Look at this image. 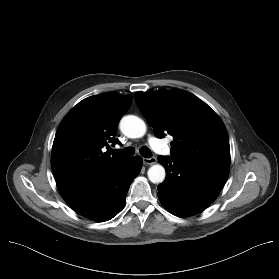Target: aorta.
Wrapping results in <instances>:
<instances>
[{
    "label": "aorta",
    "instance_id": "aorta-1",
    "mask_svg": "<svg viewBox=\"0 0 279 279\" xmlns=\"http://www.w3.org/2000/svg\"><path fill=\"white\" fill-rule=\"evenodd\" d=\"M121 131L129 138H140L146 132L145 122L137 116L127 115L120 121ZM148 178L152 183H162L165 179V169L162 165L156 164L149 168Z\"/></svg>",
    "mask_w": 279,
    "mask_h": 279
}]
</instances>
